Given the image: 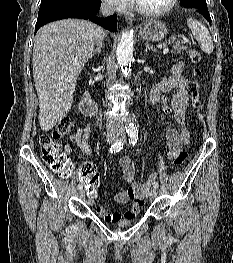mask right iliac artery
<instances>
[{
    "label": "right iliac artery",
    "instance_id": "obj_1",
    "mask_svg": "<svg viewBox=\"0 0 233 263\" xmlns=\"http://www.w3.org/2000/svg\"><path fill=\"white\" fill-rule=\"evenodd\" d=\"M123 146H124L123 142H116L110 147L109 152L110 153H115V152L117 153L123 148ZM77 189L81 190L82 189V184H79L77 186Z\"/></svg>",
    "mask_w": 233,
    "mask_h": 263
}]
</instances>
